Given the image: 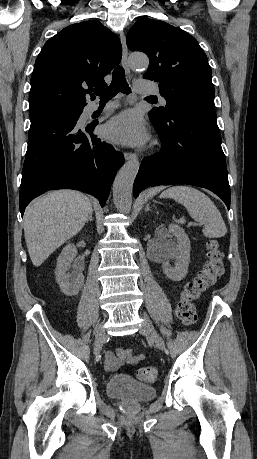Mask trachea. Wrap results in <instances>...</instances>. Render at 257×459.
Masks as SVG:
<instances>
[{"label":"trachea","instance_id":"3493384b","mask_svg":"<svg viewBox=\"0 0 257 459\" xmlns=\"http://www.w3.org/2000/svg\"><path fill=\"white\" fill-rule=\"evenodd\" d=\"M94 93L100 97L101 102L109 101L117 93L122 92L123 94H130L131 88L129 87L126 78L125 71L122 66H117L112 74L111 84L104 89H94Z\"/></svg>","mask_w":257,"mask_h":459}]
</instances>
